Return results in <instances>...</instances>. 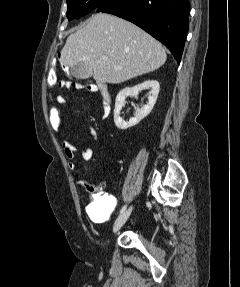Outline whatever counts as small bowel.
I'll list each match as a JSON object with an SVG mask.
<instances>
[{"mask_svg": "<svg viewBox=\"0 0 240 287\" xmlns=\"http://www.w3.org/2000/svg\"><path fill=\"white\" fill-rule=\"evenodd\" d=\"M88 91L91 93H96L97 88L94 85H89ZM111 108L108 101H102V116L107 117L110 114ZM89 135H91L95 140L98 139L97 132L89 128ZM62 148L65 156L68 158V165L71 170L75 169V158L78 154L77 148L68 140L64 139L62 141ZM80 157L84 161H88L93 156V149L91 147H85L80 152ZM103 184L97 185L95 194L93 195L92 201L86 206L87 216L91 221L100 223L103 222L116 208L117 199L115 196L107 193L101 192ZM91 186H89L90 189ZM93 190V189H90Z\"/></svg>", "mask_w": 240, "mask_h": 287, "instance_id": "c3829d8e", "label": "small bowel"}]
</instances>
